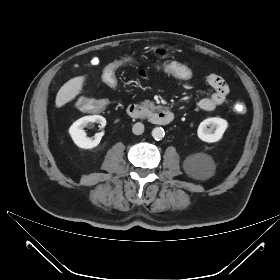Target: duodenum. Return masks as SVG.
Instances as JSON below:
<instances>
[{"label": "duodenum", "instance_id": "410a0bca", "mask_svg": "<svg viewBox=\"0 0 280 280\" xmlns=\"http://www.w3.org/2000/svg\"><path fill=\"white\" fill-rule=\"evenodd\" d=\"M127 114L132 119H148L156 125H168L174 119V113L170 110H161L153 114H148L136 103L128 105Z\"/></svg>", "mask_w": 280, "mask_h": 280}]
</instances>
